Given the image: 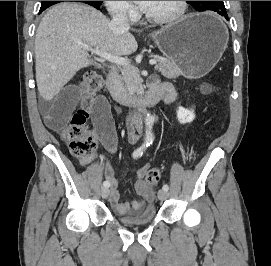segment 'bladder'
Here are the masks:
<instances>
[{"label": "bladder", "mask_w": 271, "mask_h": 266, "mask_svg": "<svg viewBox=\"0 0 271 266\" xmlns=\"http://www.w3.org/2000/svg\"><path fill=\"white\" fill-rule=\"evenodd\" d=\"M156 215V209L153 206H149L140 211L136 216L116 215V219L122 224L137 226L150 224L155 219Z\"/></svg>", "instance_id": "1"}]
</instances>
